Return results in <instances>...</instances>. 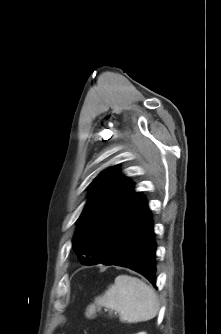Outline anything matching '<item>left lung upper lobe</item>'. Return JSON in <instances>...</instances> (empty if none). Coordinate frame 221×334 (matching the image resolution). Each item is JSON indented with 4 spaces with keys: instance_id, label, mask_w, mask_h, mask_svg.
Here are the masks:
<instances>
[{
    "instance_id": "obj_1",
    "label": "left lung upper lobe",
    "mask_w": 221,
    "mask_h": 334,
    "mask_svg": "<svg viewBox=\"0 0 221 334\" xmlns=\"http://www.w3.org/2000/svg\"><path fill=\"white\" fill-rule=\"evenodd\" d=\"M90 192L73 239L75 252L84 265L95 260L94 251L100 238L133 197L134 185L113 166L94 179Z\"/></svg>"
}]
</instances>
